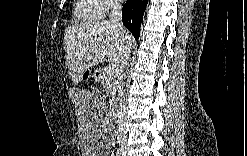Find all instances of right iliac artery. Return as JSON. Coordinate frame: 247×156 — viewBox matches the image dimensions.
<instances>
[{
    "instance_id": "right-iliac-artery-1",
    "label": "right iliac artery",
    "mask_w": 247,
    "mask_h": 156,
    "mask_svg": "<svg viewBox=\"0 0 247 156\" xmlns=\"http://www.w3.org/2000/svg\"><path fill=\"white\" fill-rule=\"evenodd\" d=\"M121 155H123V153L121 152L120 149H118V151H117V156H121Z\"/></svg>"
}]
</instances>
